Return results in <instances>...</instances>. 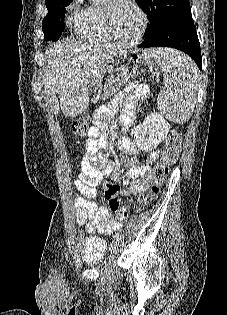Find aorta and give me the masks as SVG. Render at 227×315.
Listing matches in <instances>:
<instances>
[{"mask_svg": "<svg viewBox=\"0 0 227 315\" xmlns=\"http://www.w3.org/2000/svg\"><path fill=\"white\" fill-rule=\"evenodd\" d=\"M93 2H98V1H100V0H92Z\"/></svg>", "mask_w": 227, "mask_h": 315, "instance_id": "obj_1", "label": "aorta"}]
</instances>
